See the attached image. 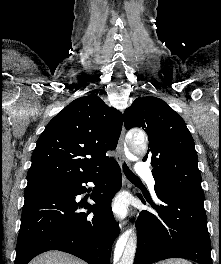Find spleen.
Returning a JSON list of instances; mask_svg holds the SVG:
<instances>
[{"mask_svg":"<svg viewBox=\"0 0 221 264\" xmlns=\"http://www.w3.org/2000/svg\"><path fill=\"white\" fill-rule=\"evenodd\" d=\"M156 264H192L186 259H168L166 261H161Z\"/></svg>","mask_w":221,"mask_h":264,"instance_id":"1","label":"spleen"}]
</instances>
